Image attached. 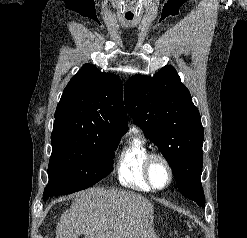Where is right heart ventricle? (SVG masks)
I'll use <instances>...</instances> for the list:
<instances>
[{"mask_svg":"<svg viewBox=\"0 0 247 238\" xmlns=\"http://www.w3.org/2000/svg\"><path fill=\"white\" fill-rule=\"evenodd\" d=\"M149 154L145 141L133 132L118 155L116 172L121 184L139 190L152 189L143 174V166Z\"/></svg>","mask_w":247,"mask_h":238,"instance_id":"1","label":"right heart ventricle"}]
</instances>
